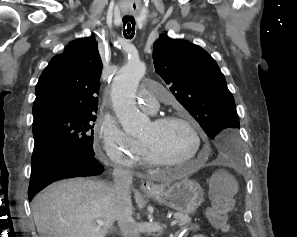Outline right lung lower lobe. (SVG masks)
Segmentation results:
<instances>
[{"label":"right lung lower lobe","mask_w":297,"mask_h":237,"mask_svg":"<svg viewBox=\"0 0 297 237\" xmlns=\"http://www.w3.org/2000/svg\"><path fill=\"white\" fill-rule=\"evenodd\" d=\"M94 155L72 147L53 148L37 154L32 158L29 199L55 181L101 174L104 168Z\"/></svg>","instance_id":"right-lung-lower-lobe-1"}]
</instances>
